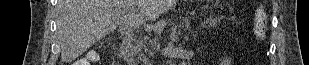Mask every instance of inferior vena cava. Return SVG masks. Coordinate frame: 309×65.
I'll use <instances>...</instances> for the list:
<instances>
[{
  "label": "inferior vena cava",
  "instance_id": "602c4592",
  "mask_svg": "<svg viewBox=\"0 0 309 65\" xmlns=\"http://www.w3.org/2000/svg\"><path fill=\"white\" fill-rule=\"evenodd\" d=\"M143 62H144V65H151V63L147 60H143Z\"/></svg>",
  "mask_w": 309,
  "mask_h": 65
}]
</instances>
